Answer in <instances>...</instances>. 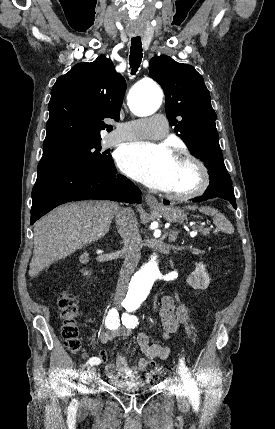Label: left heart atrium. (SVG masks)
<instances>
[{
    "mask_svg": "<svg viewBox=\"0 0 275 429\" xmlns=\"http://www.w3.org/2000/svg\"><path fill=\"white\" fill-rule=\"evenodd\" d=\"M171 150L163 144L134 142L122 147L117 156L120 169L148 187L167 191L175 165Z\"/></svg>",
    "mask_w": 275,
    "mask_h": 429,
    "instance_id": "obj_1",
    "label": "left heart atrium"
}]
</instances>
